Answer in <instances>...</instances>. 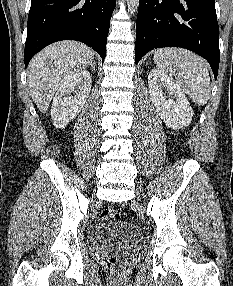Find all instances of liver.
Returning <instances> with one entry per match:
<instances>
[{
    "label": "liver",
    "instance_id": "liver-1",
    "mask_svg": "<svg viewBox=\"0 0 233 286\" xmlns=\"http://www.w3.org/2000/svg\"><path fill=\"white\" fill-rule=\"evenodd\" d=\"M94 52L83 43L60 41L49 45L28 66L30 94L42 113H46L57 89L76 72L92 64Z\"/></svg>",
    "mask_w": 233,
    "mask_h": 286
}]
</instances>
